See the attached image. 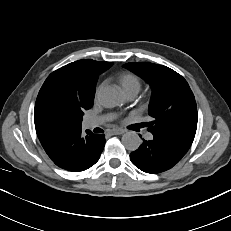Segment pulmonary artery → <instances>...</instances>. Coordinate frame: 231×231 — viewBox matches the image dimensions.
Returning a JSON list of instances; mask_svg holds the SVG:
<instances>
[{
	"instance_id": "pulmonary-artery-1",
	"label": "pulmonary artery",
	"mask_w": 231,
	"mask_h": 231,
	"mask_svg": "<svg viewBox=\"0 0 231 231\" xmlns=\"http://www.w3.org/2000/svg\"><path fill=\"white\" fill-rule=\"evenodd\" d=\"M129 100H132L136 95L135 94H128L126 95ZM109 119V116H99V117H90L84 121L85 128H94L101 124H103L106 120ZM147 139H152L151 134L146 135Z\"/></svg>"
}]
</instances>
